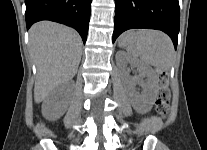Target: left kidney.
<instances>
[{
  "label": "left kidney",
  "mask_w": 207,
  "mask_h": 150,
  "mask_svg": "<svg viewBox=\"0 0 207 150\" xmlns=\"http://www.w3.org/2000/svg\"><path fill=\"white\" fill-rule=\"evenodd\" d=\"M116 58L121 67L122 80L133 108L139 114L149 112L155 102L157 93L158 80L155 71L147 64L137 58L131 57L123 51H119ZM127 64L137 68L139 72L138 79L131 78L128 72H126ZM141 78H146L145 84H142ZM137 82L142 84L143 91L141 94L134 90V84Z\"/></svg>",
  "instance_id": "5707ae66"
}]
</instances>
